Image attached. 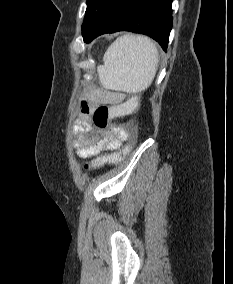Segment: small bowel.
<instances>
[{
    "label": "small bowel",
    "instance_id": "obj_1",
    "mask_svg": "<svg viewBox=\"0 0 233 284\" xmlns=\"http://www.w3.org/2000/svg\"><path fill=\"white\" fill-rule=\"evenodd\" d=\"M124 96L121 93L96 89L89 92L80 103V113L74 126V147L80 158H90L104 151L115 150L127 138L130 125H114L107 130H94L91 114L100 105L117 106Z\"/></svg>",
    "mask_w": 233,
    "mask_h": 284
}]
</instances>
